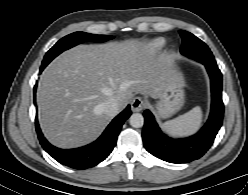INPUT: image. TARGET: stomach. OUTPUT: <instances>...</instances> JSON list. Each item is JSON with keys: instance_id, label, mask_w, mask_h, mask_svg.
<instances>
[{"instance_id": "1", "label": "stomach", "mask_w": 248, "mask_h": 195, "mask_svg": "<svg viewBox=\"0 0 248 195\" xmlns=\"http://www.w3.org/2000/svg\"><path fill=\"white\" fill-rule=\"evenodd\" d=\"M184 82L180 73H175L163 88L156 103L159 118H169L178 112L185 102Z\"/></svg>"}]
</instances>
